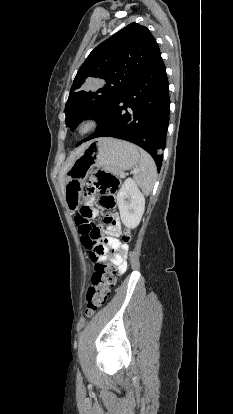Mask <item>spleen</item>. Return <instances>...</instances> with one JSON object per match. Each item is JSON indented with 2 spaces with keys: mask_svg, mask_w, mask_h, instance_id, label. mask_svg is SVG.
I'll return each instance as SVG.
<instances>
[{
  "mask_svg": "<svg viewBox=\"0 0 233 414\" xmlns=\"http://www.w3.org/2000/svg\"><path fill=\"white\" fill-rule=\"evenodd\" d=\"M139 171L134 174L137 185L145 194H149L157 178V168L152 157L140 149Z\"/></svg>",
  "mask_w": 233,
  "mask_h": 414,
  "instance_id": "spleen-1",
  "label": "spleen"
}]
</instances>
